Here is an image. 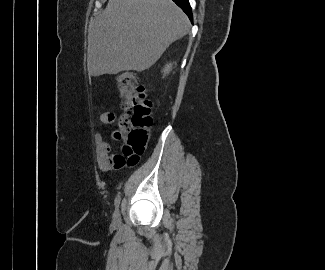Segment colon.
Returning a JSON list of instances; mask_svg holds the SVG:
<instances>
[{
	"mask_svg": "<svg viewBox=\"0 0 325 270\" xmlns=\"http://www.w3.org/2000/svg\"><path fill=\"white\" fill-rule=\"evenodd\" d=\"M122 114L113 138L123 143V155L135 166L144 153L152 125V102L134 72H123L116 78Z\"/></svg>",
	"mask_w": 325,
	"mask_h": 270,
	"instance_id": "5ec220e1",
	"label": "colon"
}]
</instances>
